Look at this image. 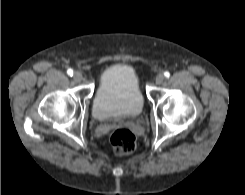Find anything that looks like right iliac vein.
<instances>
[{"mask_svg": "<svg viewBox=\"0 0 245 195\" xmlns=\"http://www.w3.org/2000/svg\"><path fill=\"white\" fill-rule=\"evenodd\" d=\"M73 78L76 82H80L83 79L82 73L81 72H75L73 75Z\"/></svg>", "mask_w": 245, "mask_h": 195, "instance_id": "right-iliac-vein-1", "label": "right iliac vein"}]
</instances>
